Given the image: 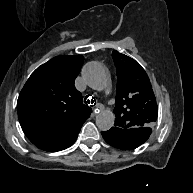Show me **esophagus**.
<instances>
[{
	"mask_svg": "<svg viewBox=\"0 0 193 193\" xmlns=\"http://www.w3.org/2000/svg\"><path fill=\"white\" fill-rule=\"evenodd\" d=\"M104 110V106L101 103H98L96 108L94 109L95 114H99Z\"/></svg>",
	"mask_w": 193,
	"mask_h": 193,
	"instance_id": "esophagus-1",
	"label": "esophagus"
}]
</instances>
